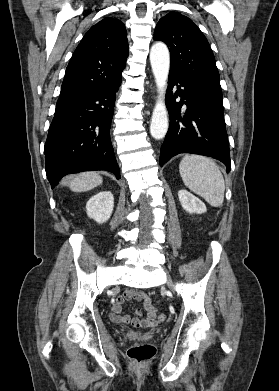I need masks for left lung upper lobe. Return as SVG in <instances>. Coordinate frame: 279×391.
<instances>
[{"instance_id":"left-lung-upper-lobe-1","label":"left lung upper lobe","mask_w":279,"mask_h":391,"mask_svg":"<svg viewBox=\"0 0 279 391\" xmlns=\"http://www.w3.org/2000/svg\"><path fill=\"white\" fill-rule=\"evenodd\" d=\"M154 39L163 41L169 48V75L222 100L220 77L213 52L206 37L192 20L170 12L159 20Z\"/></svg>"}]
</instances>
